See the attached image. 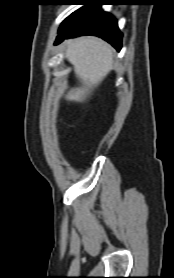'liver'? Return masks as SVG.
Wrapping results in <instances>:
<instances>
[{"label": "liver", "mask_w": 174, "mask_h": 278, "mask_svg": "<svg viewBox=\"0 0 174 278\" xmlns=\"http://www.w3.org/2000/svg\"><path fill=\"white\" fill-rule=\"evenodd\" d=\"M65 56L81 82V86L71 89L65 98L84 102L112 69V50L99 38L80 37L67 42Z\"/></svg>", "instance_id": "1"}]
</instances>
